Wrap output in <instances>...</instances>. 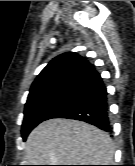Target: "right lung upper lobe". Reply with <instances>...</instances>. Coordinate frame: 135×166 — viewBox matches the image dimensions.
Returning <instances> with one entry per match:
<instances>
[{"label":"right lung upper lobe","instance_id":"1","mask_svg":"<svg viewBox=\"0 0 135 166\" xmlns=\"http://www.w3.org/2000/svg\"><path fill=\"white\" fill-rule=\"evenodd\" d=\"M94 71V66L77 53L61 54L49 62L37 76L30 88L27 103L57 88L68 86Z\"/></svg>","mask_w":135,"mask_h":166}]
</instances>
